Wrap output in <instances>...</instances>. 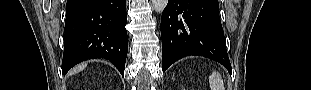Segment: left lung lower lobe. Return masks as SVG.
<instances>
[{"label": "left lung lower lobe", "instance_id": "obj_1", "mask_svg": "<svg viewBox=\"0 0 311 90\" xmlns=\"http://www.w3.org/2000/svg\"><path fill=\"white\" fill-rule=\"evenodd\" d=\"M160 29L163 72L185 56L198 55L221 63L231 74L217 0H169Z\"/></svg>", "mask_w": 311, "mask_h": 90}]
</instances>
